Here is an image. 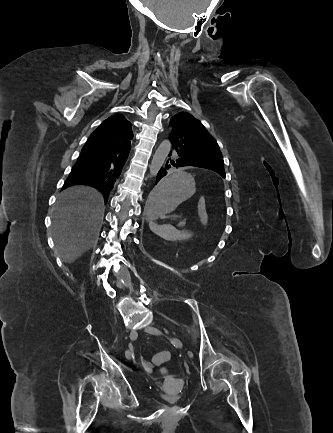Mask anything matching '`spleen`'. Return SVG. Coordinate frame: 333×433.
<instances>
[{"label": "spleen", "instance_id": "spleen-1", "mask_svg": "<svg viewBox=\"0 0 333 433\" xmlns=\"http://www.w3.org/2000/svg\"><path fill=\"white\" fill-rule=\"evenodd\" d=\"M160 183V182H159ZM196 191V190H195ZM195 193V192H193ZM149 227L153 233L169 241H181L191 238L192 234L187 231H179L171 224H157L155 220H148Z\"/></svg>", "mask_w": 333, "mask_h": 433}]
</instances>
